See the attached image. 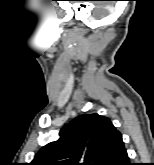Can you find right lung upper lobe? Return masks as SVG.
Segmentation results:
<instances>
[{"label":"right lung upper lobe","mask_w":154,"mask_h":165,"mask_svg":"<svg viewBox=\"0 0 154 165\" xmlns=\"http://www.w3.org/2000/svg\"><path fill=\"white\" fill-rule=\"evenodd\" d=\"M118 135L110 119L80 115L60 130L57 141L40 149L31 165H98Z\"/></svg>","instance_id":"right-lung-upper-lobe-1"}]
</instances>
